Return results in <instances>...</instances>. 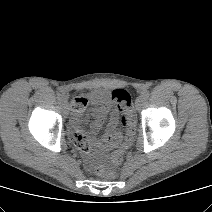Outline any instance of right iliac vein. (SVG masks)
<instances>
[{
  "mask_svg": "<svg viewBox=\"0 0 212 212\" xmlns=\"http://www.w3.org/2000/svg\"><path fill=\"white\" fill-rule=\"evenodd\" d=\"M61 103H62V106H63L64 114L68 115L69 114V107H68L66 98H64Z\"/></svg>",
  "mask_w": 212,
  "mask_h": 212,
  "instance_id": "1",
  "label": "right iliac vein"
}]
</instances>
